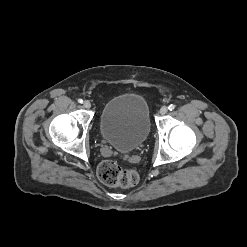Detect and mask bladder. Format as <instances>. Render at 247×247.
<instances>
[{
	"label": "bladder",
	"instance_id": "obj_1",
	"mask_svg": "<svg viewBox=\"0 0 247 247\" xmlns=\"http://www.w3.org/2000/svg\"><path fill=\"white\" fill-rule=\"evenodd\" d=\"M151 122L146 100L134 93L111 98L100 115L103 139L116 150L128 153L138 148L148 137Z\"/></svg>",
	"mask_w": 247,
	"mask_h": 247
}]
</instances>
